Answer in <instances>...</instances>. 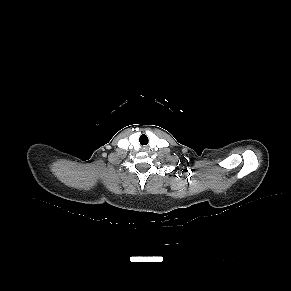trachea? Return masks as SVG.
<instances>
[{"label":"trachea","mask_w":291,"mask_h":291,"mask_svg":"<svg viewBox=\"0 0 291 291\" xmlns=\"http://www.w3.org/2000/svg\"><path fill=\"white\" fill-rule=\"evenodd\" d=\"M139 142L142 146L147 145L148 144V137L145 134H142L139 138Z\"/></svg>","instance_id":"3493384b"}]
</instances>
